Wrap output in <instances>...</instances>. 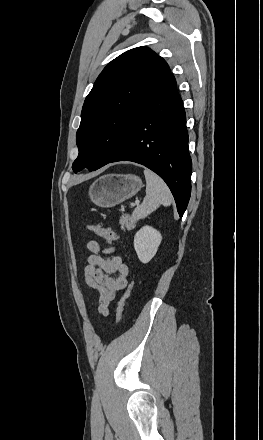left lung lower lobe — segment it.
<instances>
[{"label":"left lung lower lobe","instance_id":"0a47b994","mask_svg":"<svg viewBox=\"0 0 263 440\" xmlns=\"http://www.w3.org/2000/svg\"><path fill=\"white\" fill-rule=\"evenodd\" d=\"M117 161L136 162L158 174L183 216L191 194L192 161L183 102L171 72L141 108L126 141L106 164Z\"/></svg>","mask_w":263,"mask_h":440}]
</instances>
